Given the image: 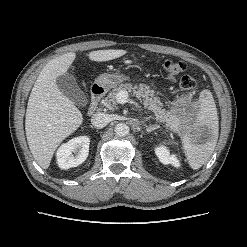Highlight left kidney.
<instances>
[{
    "label": "left kidney",
    "mask_w": 247,
    "mask_h": 247,
    "mask_svg": "<svg viewBox=\"0 0 247 247\" xmlns=\"http://www.w3.org/2000/svg\"><path fill=\"white\" fill-rule=\"evenodd\" d=\"M155 153L161 163L172 164L175 167L180 166L179 160L174 155H170V152L166 146L161 145V146L156 147Z\"/></svg>",
    "instance_id": "5707ae66"
}]
</instances>
